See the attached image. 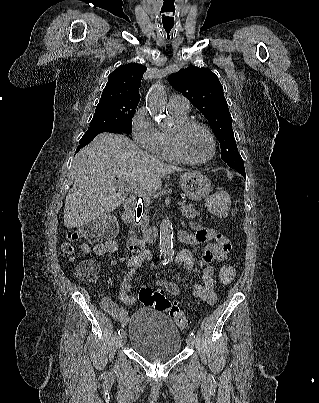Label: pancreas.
<instances>
[{
    "instance_id": "obj_1",
    "label": "pancreas",
    "mask_w": 319,
    "mask_h": 403,
    "mask_svg": "<svg viewBox=\"0 0 319 403\" xmlns=\"http://www.w3.org/2000/svg\"><path fill=\"white\" fill-rule=\"evenodd\" d=\"M149 205L150 202L148 201L145 206L144 210L142 213V216L140 217L139 221L135 224L140 230L144 231L148 228L149 225ZM181 213L182 216L188 219H194L196 216L200 215V212L195 210L192 204L188 205H183L181 206Z\"/></svg>"
}]
</instances>
